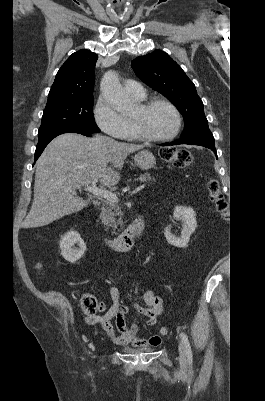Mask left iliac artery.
<instances>
[{"mask_svg": "<svg viewBox=\"0 0 265 401\" xmlns=\"http://www.w3.org/2000/svg\"><path fill=\"white\" fill-rule=\"evenodd\" d=\"M180 337H181L182 342H183V344L185 346V349H186V355H187L188 363H189V365H192V359H193L192 356L193 355H192V350H191V346H190L188 337L184 332L180 333Z\"/></svg>", "mask_w": 265, "mask_h": 401, "instance_id": "left-iliac-artery-1", "label": "left iliac artery"}]
</instances>
